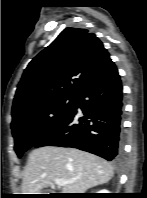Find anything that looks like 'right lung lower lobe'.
Listing matches in <instances>:
<instances>
[{"mask_svg":"<svg viewBox=\"0 0 147 198\" xmlns=\"http://www.w3.org/2000/svg\"><path fill=\"white\" fill-rule=\"evenodd\" d=\"M122 84L110 61L75 98L65 119L35 147H75L109 161L121 153ZM80 107L83 115L79 116Z\"/></svg>","mask_w":147,"mask_h":198,"instance_id":"obj_1","label":"right lung lower lobe"}]
</instances>
